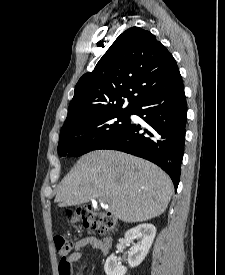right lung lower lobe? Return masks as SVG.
<instances>
[{
    "instance_id": "right-lung-lower-lobe-1",
    "label": "right lung lower lobe",
    "mask_w": 225,
    "mask_h": 275,
    "mask_svg": "<svg viewBox=\"0 0 225 275\" xmlns=\"http://www.w3.org/2000/svg\"><path fill=\"white\" fill-rule=\"evenodd\" d=\"M187 104L183 82L155 92L135 104L130 114L141 117L146 126L132 124L98 149H113L147 159L160 166L179 184L184 152Z\"/></svg>"
}]
</instances>
